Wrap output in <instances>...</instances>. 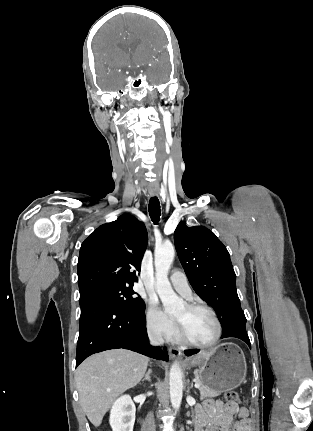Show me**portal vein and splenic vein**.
I'll return each instance as SVG.
<instances>
[{
    "label": "portal vein and splenic vein",
    "mask_w": 313,
    "mask_h": 431,
    "mask_svg": "<svg viewBox=\"0 0 313 431\" xmlns=\"http://www.w3.org/2000/svg\"><path fill=\"white\" fill-rule=\"evenodd\" d=\"M195 388H199L200 387V384L198 383V382H195Z\"/></svg>",
    "instance_id": "portal-vein-and-splenic-vein-1"
}]
</instances>
